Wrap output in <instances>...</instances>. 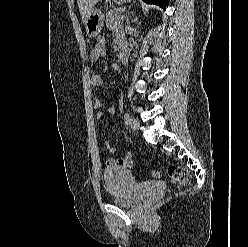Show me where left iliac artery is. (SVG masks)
<instances>
[{
  "instance_id": "44dca946",
  "label": "left iliac artery",
  "mask_w": 248,
  "mask_h": 247,
  "mask_svg": "<svg viewBox=\"0 0 248 247\" xmlns=\"http://www.w3.org/2000/svg\"><path fill=\"white\" fill-rule=\"evenodd\" d=\"M124 119H125V124L128 125L130 123V115H129V113H125Z\"/></svg>"
}]
</instances>
